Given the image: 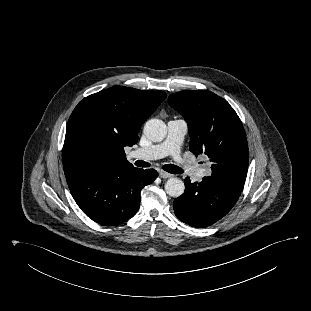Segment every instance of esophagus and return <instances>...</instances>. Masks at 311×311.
<instances>
[{
  "mask_svg": "<svg viewBox=\"0 0 311 311\" xmlns=\"http://www.w3.org/2000/svg\"><path fill=\"white\" fill-rule=\"evenodd\" d=\"M159 176H160L161 178L167 179V178L172 177V174H170V173H168V172H165V171H159Z\"/></svg>",
  "mask_w": 311,
  "mask_h": 311,
  "instance_id": "34e87169",
  "label": "esophagus"
}]
</instances>
